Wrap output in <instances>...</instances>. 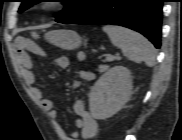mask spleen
I'll return each mask as SVG.
<instances>
[{
  "instance_id": "1",
  "label": "spleen",
  "mask_w": 182,
  "mask_h": 140,
  "mask_svg": "<svg viewBox=\"0 0 182 140\" xmlns=\"http://www.w3.org/2000/svg\"><path fill=\"white\" fill-rule=\"evenodd\" d=\"M103 31L107 33L112 44L120 48L129 60L136 63L144 62L148 67L154 66L155 48L141 34L115 25H106Z\"/></svg>"
}]
</instances>
